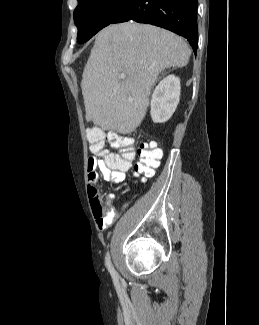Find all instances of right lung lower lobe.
I'll list each match as a JSON object with an SVG mask.
<instances>
[{
	"mask_svg": "<svg viewBox=\"0 0 259 325\" xmlns=\"http://www.w3.org/2000/svg\"><path fill=\"white\" fill-rule=\"evenodd\" d=\"M197 7L198 0H127L111 23L133 20L168 29L185 37L196 52Z\"/></svg>",
	"mask_w": 259,
	"mask_h": 325,
	"instance_id": "98d812e1",
	"label": "right lung lower lobe"
}]
</instances>
